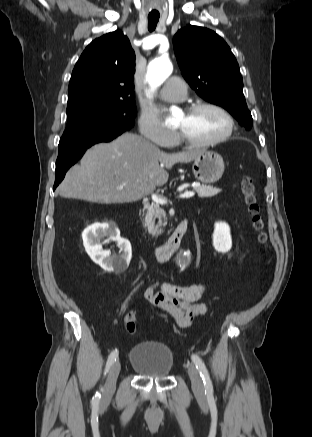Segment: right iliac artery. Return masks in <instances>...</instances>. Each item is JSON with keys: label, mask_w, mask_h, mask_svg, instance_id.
Masks as SVG:
<instances>
[{"label": "right iliac artery", "mask_w": 312, "mask_h": 437, "mask_svg": "<svg viewBox=\"0 0 312 437\" xmlns=\"http://www.w3.org/2000/svg\"><path fill=\"white\" fill-rule=\"evenodd\" d=\"M117 357H118V350L115 349V350H113L110 353V355L108 357V360H107V363H106V369H105V373L104 374H106L108 372L109 368L116 361ZM100 398H101V394L99 392H96V394L92 398V403L97 405L99 403V401H100Z\"/></svg>", "instance_id": "1"}]
</instances>
